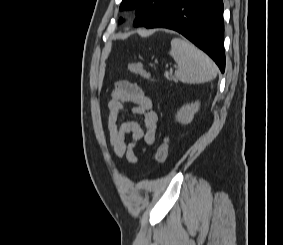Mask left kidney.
<instances>
[{
  "label": "left kidney",
  "mask_w": 283,
  "mask_h": 245,
  "mask_svg": "<svg viewBox=\"0 0 283 245\" xmlns=\"http://www.w3.org/2000/svg\"><path fill=\"white\" fill-rule=\"evenodd\" d=\"M199 106H200L199 102L184 105L177 112V115H176L177 121L182 124L190 123L194 118V114L199 110Z\"/></svg>",
  "instance_id": "left-kidney-1"
}]
</instances>
